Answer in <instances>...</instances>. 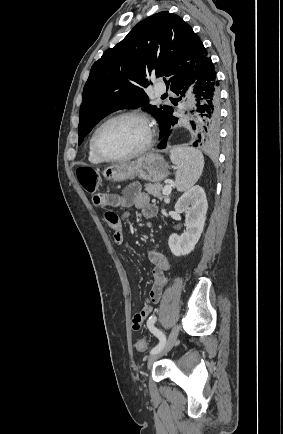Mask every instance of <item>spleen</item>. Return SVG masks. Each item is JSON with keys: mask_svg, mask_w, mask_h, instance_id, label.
Listing matches in <instances>:
<instances>
[{"mask_svg": "<svg viewBox=\"0 0 283 434\" xmlns=\"http://www.w3.org/2000/svg\"><path fill=\"white\" fill-rule=\"evenodd\" d=\"M170 159L175 165V182L178 191L189 190L199 179L204 168V156L201 151L187 146L171 150Z\"/></svg>", "mask_w": 283, "mask_h": 434, "instance_id": "1", "label": "spleen"}]
</instances>
